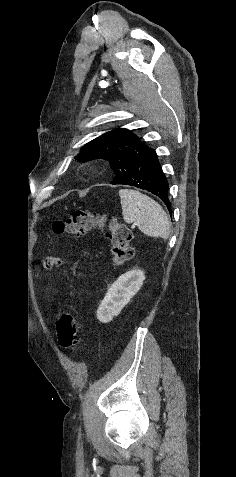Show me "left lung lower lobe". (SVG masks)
I'll return each mask as SVG.
<instances>
[{
    "instance_id": "1",
    "label": "left lung lower lobe",
    "mask_w": 236,
    "mask_h": 477,
    "mask_svg": "<svg viewBox=\"0 0 236 477\" xmlns=\"http://www.w3.org/2000/svg\"><path fill=\"white\" fill-rule=\"evenodd\" d=\"M119 184L134 186L158 196L165 203L171 215V203L168 199V182L162 172L154 149L147 148L135 160L127 178Z\"/></svg>"
}]
</instances>
